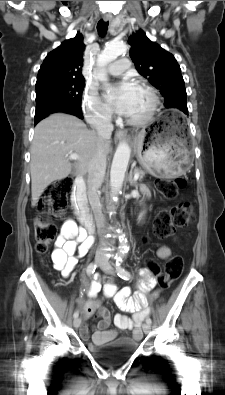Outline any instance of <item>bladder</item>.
Listing matches in <instances>:
<instances>
[{"mask_svg":"<svg viewBox=\"0 0 225 395\" xmlns=\"http://www.w3.org/2000/svg\"><path fill=\"white\" fill-rule=\"evenodd\" d=\"M139 347V342L129 338H118L105 345L90 346V352L99 361L111 363L115 360L129 357Z\"/></svg>","mask_w":225,"mask_h":395,"instance_id":"bladder-1","label":"bladder"}]
</instances>
